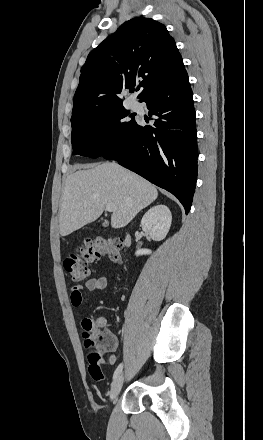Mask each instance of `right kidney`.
I'll list each match as a JSON object with an SVG mask.
<instances>
[{
    "label": "right kidney",
    "instance_id": "1",
    "mask_svg": "<svg viewBox=\"0 0 263 440\" xmlns=\"http://www.w3.org/2000/svg\"><path fill=\"white\" fill-rule=\"evenodd\" d=\"M172 214L166 205H156L150 208L141 220L143 231L148 233L154 241L163 240L169 232ZM151 254L149 249H138L136 256Z\"/></svg>",
    "mask_w": 263,
    "mask_h": 440
}]
</instances>
